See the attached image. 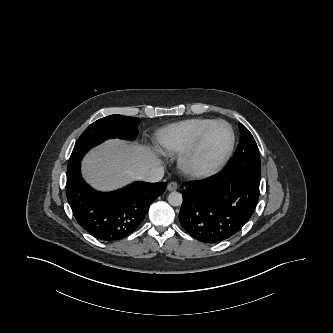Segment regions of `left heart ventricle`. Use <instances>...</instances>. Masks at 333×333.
I'll return each mask as SVG.
<instances>
[{"mask_svg": "<svg viewBox=\"0 0 333 333\" xmlns=\"http://www.w3.org/2000/svg\"><path fill=\"white\" fill-rule=\"evenodd\" d=\"M230 142V132L223 124H216L209 131L199 151L196 162L201 167L215 164L225 153Z\"/></svg>", "mask_w": 333, "mask_h": 333, "instance_id": "left-heart-ventricle-1", "label": "left heart ventricle"}]
</instances>
